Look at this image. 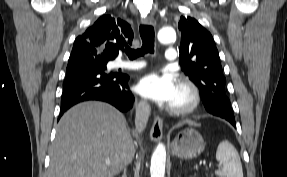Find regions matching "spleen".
Masks as SVG:
<instances>
[{"instance_id": "spleen-1", "label": "spleen", "mask_w": 287, "mask_h": 177, "mask_svg": "<svg viewBox=\"0 0 287 177\" xmlns=\"http://www.w3.org/2000/svg\"><path fill=\"white\" fill-rule=\"evenodd\" d=\"M216 159L223 167L215 171V174L220 177H243L240 156L229 141L224 140L218 145Z\"/></svg>"}]
</instances>
